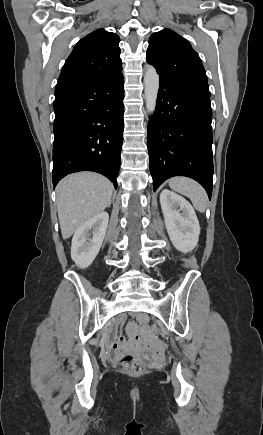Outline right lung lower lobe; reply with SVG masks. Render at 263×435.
Wrapping results in <instances>:
<instances>
[{
    "mask_svg": "<svg viewBox=\"0 0 263 435\" xmlns=\"http://www.w3.org/2000/svg\"><path fill=\"white\" fill-rule=\"evenodd\" d=\"M122 69L88 84L55 92L53 185L66 175L94 171L117 189L123 144Z\"/></svg>",
    "mask_w": 263,
    "mask_h": 435,
    "instance_id": "1",
    "label": "right lung lower lobe"
}]
</instances>
